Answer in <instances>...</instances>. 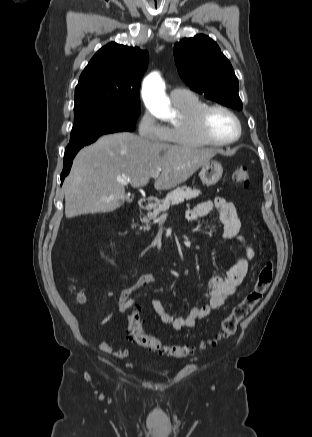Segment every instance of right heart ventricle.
<instances>
[{
	"label": "right heart ventricle",
	"instance_id": "right-heart-ventricle-1",
	"mask_svg": "<svg viewBox=\"0 0 312 437\" xmlns=\"http://www.w3.org/2000/svg\"><path fill=\"white\" fill-rule=\"evenodd\" d=\"M173 103L180 112V119L166 127L167 134L164 142L184 148L205 146L206 143L195 134L191 120L193 115L206 104L191 93L186 98Z\"/></svg>",
	"mask_w": 312,
	"mask_h": 437
}]
</instances>
